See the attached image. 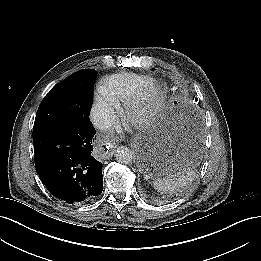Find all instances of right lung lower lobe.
I'll use <instances>...</instances> for the list:
<instances>
[{"instance_id": "1", "label": "right lung lower lobe", "mask_w": 261, "mask_h": 261, "mask_svg": "<svg viewBox=\"0 0 261 261\" xmlns=\"http://www.w3.org/2000/svg\"><path fill=\"white\" fill-rule=\"evenodd\" d=\"M95 133L85 116L56 128L33 131L35 167L53 196L79 203L102 192V163L91 155Z\"/></svg>"}]
</instances>
